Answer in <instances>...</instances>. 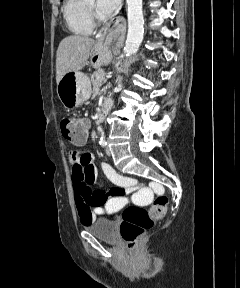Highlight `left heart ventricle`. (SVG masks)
I'll list each match as a JSON object with an SVG mask.
<instances>
[{
	"label": "left heart ventricle",
	"mask_w": 240,
	"mask_h": 288,
	"mask_svg": "<svg viewBox=\"0 0 240 288\" xmlns=\"http://www.w3.org/2000/svg\"><path fill=\"white\" fill-rule=\"evenodd\" d=\"M87 1H88L89 4H91L93 6L95 5V0H87Z\"/></svg>",
	"instance_id": "b2bd125f"
}]
</instances>
